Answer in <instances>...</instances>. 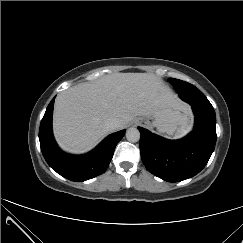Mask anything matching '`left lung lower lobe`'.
Segmentation results:
<instances>
[{
	"label": "left lung lower lobe",
	"instance_id": "left-lung-lower-lobe-1",
	"mask_svg": "<svg viewBox=\"0 0 243 243\" xmlns=\"http://www.w3.org/2000/svg\"><path fill=\"white\" fill-rule=\"evenodd\" d=\"M195 114L194 130L185 138L171 141L138 127L141 158L149 172L179 182L195 176L207 164L216 144V116L213 106L195 86L176 91Z\"/></svg>",
	"mask_w": 243,
	"mask_h": 243
}]
</instances>
